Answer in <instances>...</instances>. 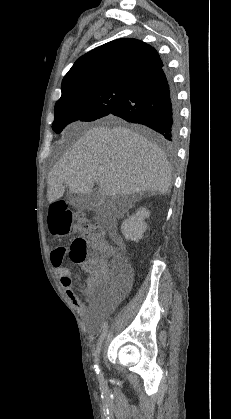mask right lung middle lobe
<instances>
[{
	"label": "right lung middle lobe",
	"mask_w": 231,
	"mask_h": 419,
	"mask_svg": "<svg viewBox=\"0 0 231 419\" xmlns=\"http://www.w3.org/2000/svg\"><path fill=\"white\" fill-rule=\"evenodd\" d=\"M131 88L109 85L80 89L69 94L55 105L53 130L60 133L74 121H94L109 115L127 97Z\"/></svg>",
	"instance_id": "dd1d6c3e"
}]
</instances>
